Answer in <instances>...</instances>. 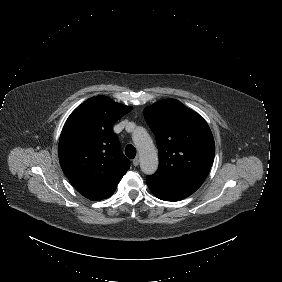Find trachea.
<instances>
[{"label":"trachea","instance_id":"obj_1","mask_svg":"<svg viewBox=\"0 0 282 282\" xmlns=\"http://www.w3.org/2000/svg\"><path fill=\"white\" fill-rule=\"evenodd\" d=\"M125 155L129 158V159H133L136 156V149L133 145L129 144L126 146L125 148Z\"/></svg>","mask_w":282,"mask_h":282}]
</instances>
